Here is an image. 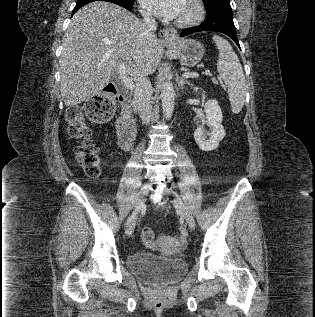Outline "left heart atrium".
Instances as JSON below:
<instances>
[{
	"label": "left heart atrium",
	"mask_w": 315,
	"mask_h": 317,
	"mask_svg": "<svg viewBox=\"0 0 315 317\" xmlns=\"http://www.w3.org/2000/svg\"><path fill=\"white\" fill-rule=\"evenodd\" d=\"M143 6L154 15L172 19L181 12L186 0H140Z\"/></svg>",
	"instance_id": "1"
}]
</instances>
